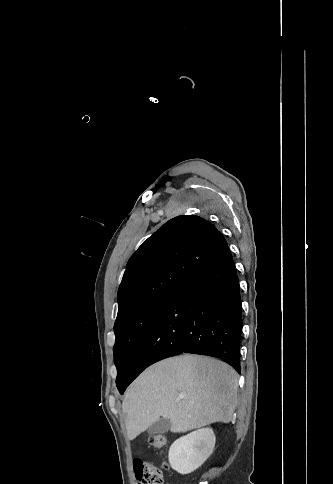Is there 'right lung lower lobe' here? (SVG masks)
<instances>
[{"instance_id": "98d812e1", "label": "right lung lower lobe", "mask_w": 333, "mask_h": 484, "mask_svg": "<svg viewBox=\"0 0 333 484\" xmlns=\"http://www.w3.org/2000/svg\"><path fill=\"white\" fill-rule=\"evenodd\" d=\"M241 313L239 281L228 251L169 299L139 345L125 387L154 362L182 353L221 358L240 373Z\"/></svg>"}]
</instances>
